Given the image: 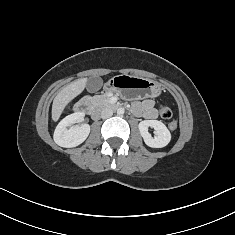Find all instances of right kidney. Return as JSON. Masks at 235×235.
I'll return each instance as SVG.
<instances>
[{
	"instance_id": "right-kidney-1",
	"label": "right kidney",
	"mask_w": 235,
	"mask_h": 235,
	"mask_svg": "<svg viewBox=\"0 0 235 235\" xmlns=\"http://www.w3.org/2000/svg\"><path fill=\"white\" fill-rule=\"evenodd\" d=\"M83 116V113L70 114L57 125L54 132V141L57 145L71 148L80 145L86 140L90 133L88 124L76 125L68 129L71 124L79 122Z\"/></svg>"
}]
</instances>
